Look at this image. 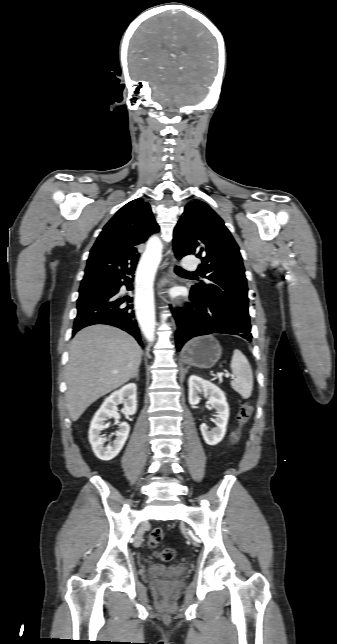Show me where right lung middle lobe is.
Wrapping results in <instances>:
<instances>
[{
  "mask_svg": "<svg viewBox=\"0 0 337 644\" xmlns=\"http://www.w3.org/2000/svg\"><path fill=\"white\" fill-rule=\"evenodd\" d=\"M111 280H96L81 283L77 302L88 300L110 289Z\"/></svg>",
  "mask_w": 337,
  "mask_h": 644,
  "instance_id": "right-lung-middle-lobe-1",
  "label": "right lung middle lobe"
}]
</instances>
